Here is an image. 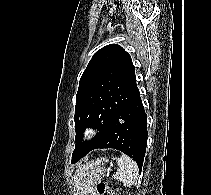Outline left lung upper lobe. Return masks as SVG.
<instances>
[{"label":"left lung upper lobe","instance_id":"left-lung-upper-lobe-1","mask_svg":"<svg viewBox=\"0 0 211 195\" xmlns=\"http://www.w3.org/2000/svg\"><path fill=\"white\" fill-rule=\"evenodd\" d=\"M139 91L131 57L121 46L110 44L97 51L79 81L75 106L77 145L72 163L94 149L108 123ZM99 133L83 141L85 128Z\"/></svg>","mask_w":211,"mask_h":195}]
</instances>
